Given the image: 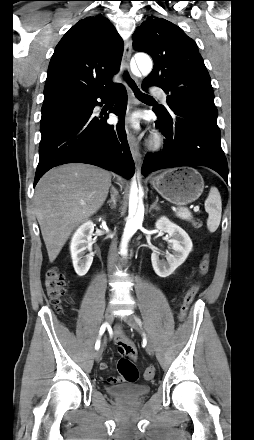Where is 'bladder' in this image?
I'll use <instances>...</instances> for the list:
<instances>
[{
    "label": "bladder",
    "mask_w": 254,
    "mask_h": 440,
    "mask_svg": "<svg viewBox=\"0 0 254 440\" xmlns=\"http://www.w3.org/2000/svg\"><path fill=\"white\" fill-rule=\"evenodd\" d=\"M151 390L147 384H121L108 386L106 391L115 398L136 399L148 394Z\"/></svg>",
    "instance_id": "obj_1"
}]
</instances>
